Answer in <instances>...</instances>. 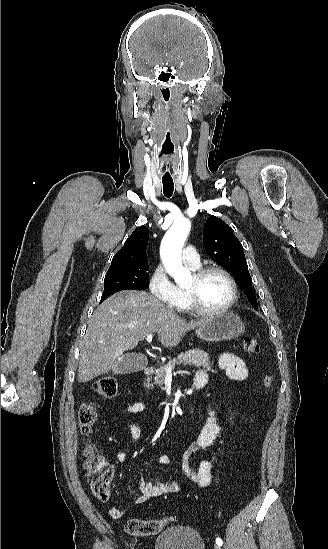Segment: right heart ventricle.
<instances>
[{
  "label": "right heart ventricle",
  "mask_w": 328,
  "mask_h": 549,
  "mask_svg": "<svg viewBox=\"0 0 328 549\" xmlns=\"http://www.w3.org/2000/svg\"><path fill=\"white\" fill-rule=\"evenodd\" d=\"M185 264L188 267H196L200 264V260L196 263L192 262H185ZM167 303H176V310H179V319H184L181 315L183 313L189 312L190 310L187 308V305L189 304V301L187 299L185 289L182 286L175 285L173 293Z\"/></svg>",
  "instance_id": "1"
}]
</instances>
